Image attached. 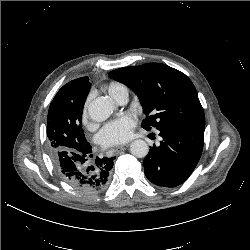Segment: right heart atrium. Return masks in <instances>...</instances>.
<instances>
[{
	"instance_id": "obj_1",
	"label": "right heart atrium",
	"mask_w": 250,
	"mask_h": 250,
	"mask_svg": "<svg viewBox=\"0 0 250 250\" xmlns=\"http://www.w3.org/2000/svg\"><path fill=\"white\" fill-rule=\"evenodd\" d=\"M82 119L85 124L88 123L89 120V114H88V103L85 105L82 113Z\"/></svg>"
}]
</instances>
